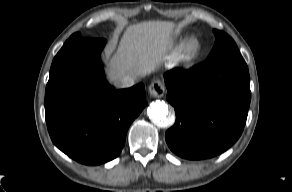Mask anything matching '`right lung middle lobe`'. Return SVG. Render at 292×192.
I'll return each mask as SVG.
<instances>
[{
    "label": "right lung middle lobe",
    "mask_w": 292,
    "mask_h": 192,
    "mask_svg": "<svg viewBox=\"0 0 292 192\" xmlns=\"http://www.w3.org/2000/svg\"><path fill=\"white\" fill-rule=\"evenodd\" d=\"M72 39H86V38L81 37L80 33L77 32V33H74L68 40H72Z\"/></svg>",
    "instance_id": "right-lung-middle-lobe-1"
}]
</instances>
